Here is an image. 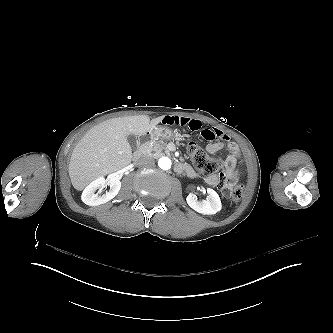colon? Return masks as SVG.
Here are the masks:
<instances>
[{
  "label": "colon",
  "instance_id": "5ec220e1",
  "mask_svg": "<svg viewBox=\"0 0 333 333\" xmlns=\"http://www.w3.org/2000/svg\"><path fill=\"white\" fill-rule=\"evenodd\" d=\"M187 151L197 170L205 175L213 176L215 173L221 171L224 166L220 159L209 156L195 142L188 143ZM239 176L240 171L237 168H233L220 176L216 185L222 191L225 198L233 201L242 199L244 189L242 185L237 183Z\"/></svg>",
  "mask_w": 333,
  "mask_h": 333
}]
</instances>
